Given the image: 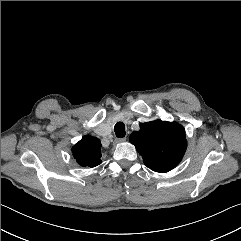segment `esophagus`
Instances as JSON below:
<instances>
[{
    "instance_id": "34e87169",
    "label": "esophagus",
    "mask_w": 241,
    "mask_h": 241,
    "mask_svg": "<svg viewBox=\"0 0 241 241\" xmlns=\"http://www.w3.org/2000/svg\"><path fill=\"white\" fill-rule=\"evenodd\" d=\"M125 141H126V137L115 139V143H121V142H125Z\"/></svg>"
}]
</instances>
